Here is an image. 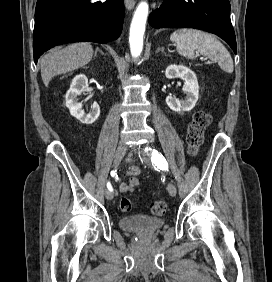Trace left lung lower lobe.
Returning <instances> with one entry per match:
<instances>
[{"label":"left lung lower lobe","mask_w":272,"mask_h":282,"mask_svg":"<svg viewBox=\"0 0 272 282\" xmlns=\"http://www.w3.org/2000/svg\"><path fill=\"white\" fill-rule=\"evenodd\" d=\"M149 23L155 28L205 30L225 40L234 53L237 51L228 0H164L150 14Z\"/></svg>","instance_id":"obj_1"}]
</instances>
